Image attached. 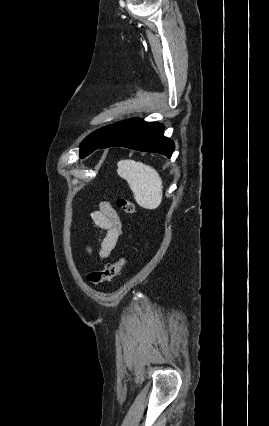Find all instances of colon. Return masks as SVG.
I'll list each match as a JSON object with an SVG mask.
<instances>
[{
  "label": "colon",
  "mask_w": 269,
  "mask_h": 426,
  "mask_svg": "<svg viewBox=\"0 0 269 426\" xmlns=\"http://www.w3.org/2000/svg\"><path fill=\"white\" fill-rule=\"evenodd\" d=\"M117 207L125 214L131 215L135 213L134 202L127 198H118L116 201ZM127 263V257H121L119 260L107 263L102 270H95L87 275V281L95 286L105 282L112 281L117 277Z\"/></svg>",
  "instance_id": "5ec220e1"
}]
</instances>
